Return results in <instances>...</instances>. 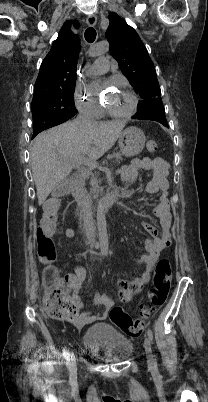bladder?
I'll list each match as a JSON object with an SVG mask.
<instances>
[{
	"instance_id": "bladder-1",
	"label": "bladder",
	"mask_w": 208,
	"mask_h": 402,
	"mask_svg": "<svg viewBox=\"0 0 208 402\" xmlns=\"http://www.w3.org/2000/svg\"><path fill=\"white\" fill-rule=\"evenodd\" d=\"M84 346L100 359L118 360L132 353V342L112 325L95 324L85 330Z\"/></svg>"
}]
</instances>
